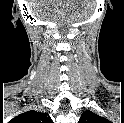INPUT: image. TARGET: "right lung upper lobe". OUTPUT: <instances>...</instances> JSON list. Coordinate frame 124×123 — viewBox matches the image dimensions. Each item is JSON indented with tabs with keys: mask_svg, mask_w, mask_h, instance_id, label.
I'll list each match as a JSON object with an SVG mask.
<instances>
[{
	"mask_svg": "<svg viewBox=\"0 0 124 123\" xmlns=\"http://www.w3.org/2000/svg\"><path fill=\"white\" fill-rule=\"evenodd\" d=\"M18 123H52L48 113L38 111H28L14 118Z\"/></svg>",
	"mask_w": 124,
	"mask_h": 123,
	"instance_id": "1",
	"label": "right lung upper lobe"
}]
</instances>
